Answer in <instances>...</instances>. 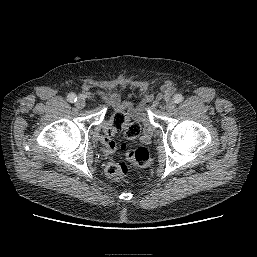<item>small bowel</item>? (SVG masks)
Returning <instances> with one entry per match:
<instances>
[{"label":"small bowel","mask_w":257,"mask_h":257,"mask_svg":"<svg viewBox=\"0 0 257 257\" xmlns=\"http://www.w3.org/2000/svg\"><path fill=\"white\" fill-rule=\"evenodd\" d=\"M99 94L110 108L127 110L128 116L132 118L134 122L138 123L140 128L142 126L140 140L143 143H148L150 141L153 129L143 103L135 104L132 101H122L119 93L105 95L102 92H99Z\"/></svg>","instance_id":"c3829d8e"}]
</instances>
